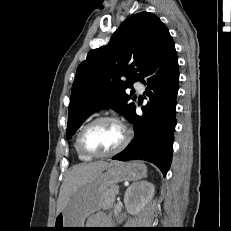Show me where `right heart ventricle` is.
Listing matches in <instances>:
<instances>
[{"label":"right heart ventricle","instance_id":"obj_1","mask_svg":"<svg viewBox=\"0 0 231 231\" xmlns=\"http://www.w3.org/2000/svg\"><path fill=\"white\" fill-rule=\"evenodd\" d=\"M80 130H81V129H80ZM80 130L78 131V133H77L76 136H75L74 148H75L76 154H77V156H78V158H79L80 160H82V161H89V160H91V158H90V157H87V156H85V155H83V154L80 152V150L78 149L77 140H78V135H79Z\"/></svg>","mask_w":231,"mask_h":231}]
</instances>
